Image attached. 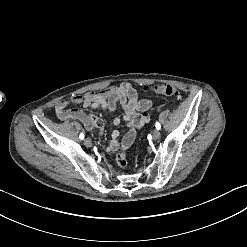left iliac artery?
Here are the masks:
<instances>
[{"instance_id": "44dca946", "label": "left iliac artery", "mask_w": 247, "mask_h": 247, "mask_svg": "<svg viewBox=\"0 0 247 247\" xmlns=\"http://www.w3.org/2000/svg\"><path fill=\"white\" fill-rule=\"evenodd\" d=\"M155 126H156V128H157L158 130L161 129V125H160L158 122H156Z\"/></svg>"}]
</instances>
